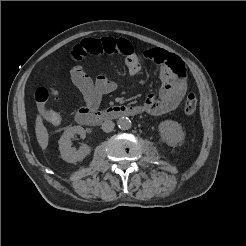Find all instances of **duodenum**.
Returning a JSON list of instances; mask_svg holds the SVG:
<instances>
[{
	"instance_id": "410a0bca",
	"label": "duodenum",
	"mask_w": 246,
	"mask_h": 246,
	"mask_svg": "<svg viewBox=\"0 0 246 246\" xmlns=\"http://www.w3.org/2000/svg\"><path fill=\"white\" fill-rule=\"evenodd\" d=\"M141 112L142 109L139 106L134 105H116L105 110L82 108L76 114V121L85 126H97L107 120L124 116H135Z\"/></svg>"
}]
</instances>
